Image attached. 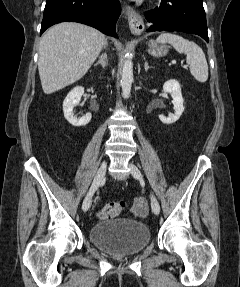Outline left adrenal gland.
<instances>
[{
    "mask_svg": "<svg viewBox=\"0 0 240 287\" xmlns=\"http://www.w3.org/2000/svg\"><path fill=\"white\" fill-rule=\"evenodd\" d=\"M152 68V66H149L148 61H145L144 63V69L145 71H148V69Z\"/></svg>",
    "mask_w": 240,
    "mask_h": 287,
    "instance_id": "obj_1",
    "label": "left adrenal gland"
}]
</instances>
